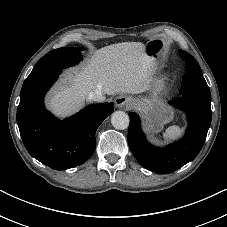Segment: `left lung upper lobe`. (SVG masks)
<instances>
[{
  "mask_svg": "<svg viewBox=\"0 0 227 227\" xmlns=\"http://www.w3.org/2000/svg\"><path fill=\"white\" fill-rule=\"evenodd\" d=\"M181 57L186 61V73L180 90L181 97H192L211 101L210 90L202 75L201 68L193 56L186 51L179 50Z\"/></svg>",
  "mask_w": 227,
  "mask_h": 227,
  "instance_id": "obj_1",
  "label": "left lung upper lobe"
}]
</instances>
